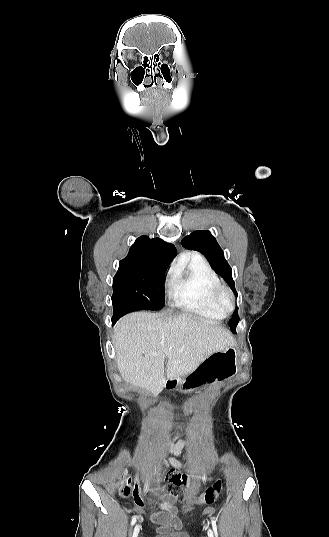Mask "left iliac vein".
I'll list each match as a JSON object with an SVG mask.
<instances>
[{"label": "left iliac vein", "instance_id": "1", "mask_svg": "<svg viewBox=\"0 0 329 537\" xmlns=\"http://www.w3.org/2000/svg\"><path fill=\"white\" fill-rule=\"evenodd\" d=\"M207 535H208V537H214V536H213V532H212V530L209 529V528H208V530H207Z\"/></svg>", "mask_w": 329, "mask_h": 537}]
</instances>
